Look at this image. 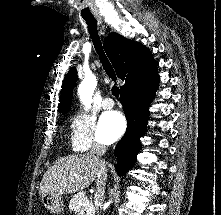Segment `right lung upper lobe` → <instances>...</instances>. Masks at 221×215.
Instances as JSON below:
<instances>
[{
    "instance_id": "obj_1",
    "label": "right lung upper lobe",
    "mask_w": 221,
    "mask_h": 215,
    "mask_svg": "<svg viewBox=\"0 0 221 215\" xmlns=\"http://www.w3.org/2000/svg\"><path fill=\"white\" fill-rule=\"evenodd\" d=\"M104 49L118 77L125 82L120 87L121 91L134 87L157 71L158 64L153 60L149 49L115 32L107 36ZM76 80V69L72 68L64 78L58 105L59 112H67L70 108Z\"/></svg>"
}]
</instances>
